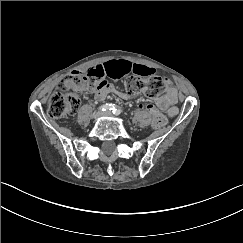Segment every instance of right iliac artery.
<instances>
[{"label": "right iliac artery", "mask_w": 243, "mask_h": 243, "mask_svg": "<svg viewBox=\"0 0 243 243\" xmlns=\"http://www.w3.org/2000/svg\"><path fill=\"white\" fill-rule=\"evenodd\" d=\"M116 109V105L115 104H104L102 106L99 107V110H102V111H106V110H112L114 111Z\"/></svg>", "instance_id": "1"}]
</instances>
